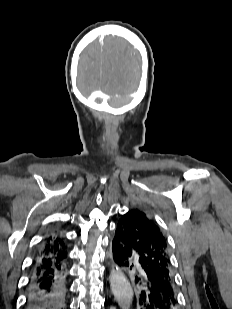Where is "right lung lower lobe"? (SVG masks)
<instances>
[{"label":"right lung lower lobe","mask_w":232,"mask_h":309,"mask_svg":"<svg viewBox=\"0 0 232 309\" xmlns=\"http://www.w3.org/2000/svg\"><path fill=\"white\" fill-rule=\"evenodd\" d=\"M65 257H36L28 286V309L66 308Z\"/></svg>","instance_id":"98d812e1"}]
</instances>
